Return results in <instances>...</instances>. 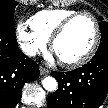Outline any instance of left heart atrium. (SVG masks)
I'll return each instance as SVG.
<instances>
[{
  "mask_svg": "<svg viewBox=\"0 0 108 108\" xmlns=\"http://www.w3.org/2000/svg\"><path fill=\"white\" fill-rule=\"evenodd\" d=\"M55 58H56V56H55V55H49V56H48V59H49L50 61L55 60Z\"/></svg>",
  "mask_w": 108,
  "mask_h": 108,
  "instance_id": "left-heart-atrium-1",
  "label": "left heart atrium"
}]
</instances>
